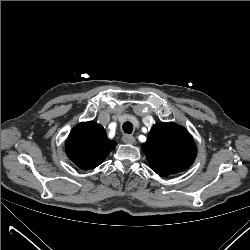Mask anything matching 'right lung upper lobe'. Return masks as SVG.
<instances>
[{
	"mask_svg": "<svg viewBox=\"0 0 250 250\" xmlns=\"http://www.w3.org/2000/svg\"><path fill=\"white\" fill-rule=\"evenodd\" d=\"M116 145L115 141L107 138L105 129L100 124L88 121L72 129L65 150L73 163L88 170L99 166Z\"/></svg>",
	"mask_w": 250,
	"mask_h": 250,
	"instance_id": "cb5924a9",
	"label": "right lung upper lobe"
}]
</instances>
